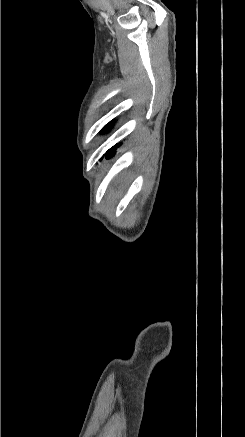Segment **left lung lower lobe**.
<instances>
[{
  "label": "left lung lower lobe",
  "mask_w": 245,
  "mask_h": 437,
  "mask_svg": "<svg viewBox=\"0 0 245 437\" xmlns=\"http://www.w3.org/2000/svg\"><path fill=\"white\" fill-rule=\"evenodd\" d=\"M115 146L118 147V146H120V144L119 145H115ZM115 146H113L111 149H109L106 152V158L112 157L115 154V151H116V147Z\"/></svg>",
  "instance_id": "1"
}]
</instances>
